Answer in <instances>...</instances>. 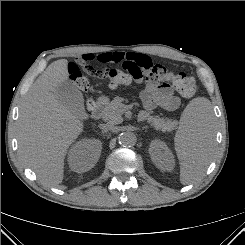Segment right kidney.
<instances>
[{
    "label": "right kidney",
    "mask_w": 245,
    "mask_h": 245,
    "mask_svg": "<svg viewBox=\"0 0 245 245\" xmlns=\"http://www.w3.org/2000/svg\"><path fill=\"white\" fill-rule=\"evenodd\" d=\"M102 143L97 139L77 141L68 153V163L72 171L83 173L89 171L99 160Z\"/></svg>",
    "instance_id": "1"
}]
</instances>
